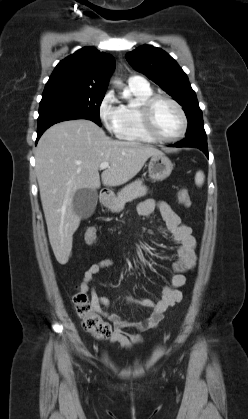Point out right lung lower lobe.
Returning <instances> with one entry per match:
<instances>
[{
	"mask_svg": "<svg viewBox=\"0 0 248 419\" xmlns=\"http://www.w3.org/2000/svg\"><path fill=\"white\" fill-rule=\"evenodd\" d=\"M74 119H88L83 114L78 113H59V114H52L48 115L42 118H38V129H37V140L40 138V136L44 133L46 129H48L50 126H52L55 123L66 121V120H74Z\"/></svg>",
	"mask_w": 248,
	"mask_h": 419,
	"instance_id": "right-lung-lower-lobe-1",
	"label": "right lung lower lobe"
}]
</instances>
